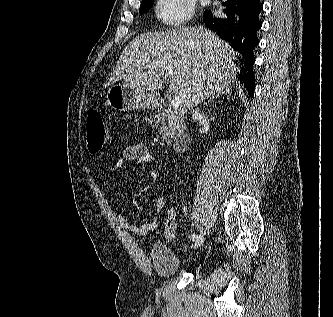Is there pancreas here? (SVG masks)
<instances>
[{"label":"pancreas","instance_id":"1","mask_svg":"<svg viewBox=\"0 0 333 317\" xmlns=\"http://www.w3.org/2000/svg\"><path fill=\"white\" fill-rule=\"evenodd\" d=\"M156 117L161 124L159 127V134L165 140L173 137L175 131L183 126L184 123V116L180 112L174 110L171 106L162 112H158Z\"/></svg>","mask_w":333,"mask_h":317}]
</instances>
